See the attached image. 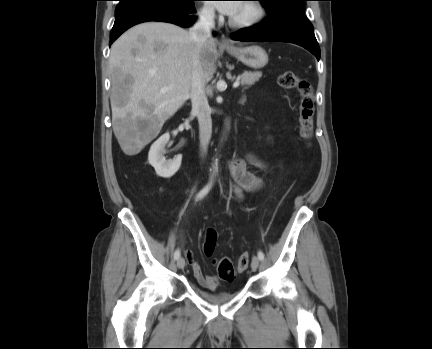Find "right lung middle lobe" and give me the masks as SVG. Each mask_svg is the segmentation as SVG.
Masks as SVG:
<instances>
[{
	"label": "right lung middle lobe",
	"mask_w": 432,
	"mask_h": 349,
	"mask_svg": "<svg viewBox=\"0 0 432 349\" xmlns=\"http://www.w3.org/2000/svg\"><path fill=\"white\" fill-rule=\"evenodd\" d=\"M119 1H120V6H121V5L131 3V2H134L137 0H119ZM164 1L171 2L174 4H183L184 2L189 1V0H164Z\"/></svg>",
	"instance_id": "1"
}]
</instances>
